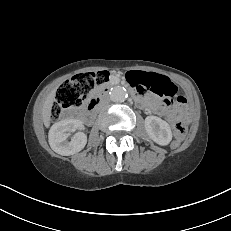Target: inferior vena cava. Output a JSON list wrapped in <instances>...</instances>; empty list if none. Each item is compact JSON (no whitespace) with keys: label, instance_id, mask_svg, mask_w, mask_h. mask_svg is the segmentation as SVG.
I'll return each mask as SVG.
<instances>
[{"label":"inferior vena cava","instance_id":"inferior-vena-cava-1","mask_svg":"<svg viewBox=\"0 0 231 231\" xmlns=\"http://www.w3.org/2000/svg\"><path fill=\"white\" fill-rule=\"evenodd\" d=\"M109 102H110L109 98L108 97H104L103 100H102V102H101V104H100V107L102 108V107L107 106L109 104Z\"/></svg>","mask_w":231,"mask_h":231}]
</instances>
